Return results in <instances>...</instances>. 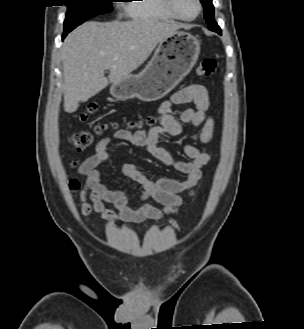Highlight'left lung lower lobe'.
<instances>
[{"mask_svg": "<svg viewBox=\"0 0 304 329\" xmlns=\"http://www.w3.org/2000/svg\"><path fill=\"white\" fill-rule=\"evenodd\" d=\"M208 29H210L211 31H215L218 34H221V29L218 26V24L215 22V20H213L212 24L210 26H208Z\"/></svg>", "mask_w": 304, "mask_h": 329, "instance_id": "obj_1", "label": "left lung lower lobe"}]
</instances>
